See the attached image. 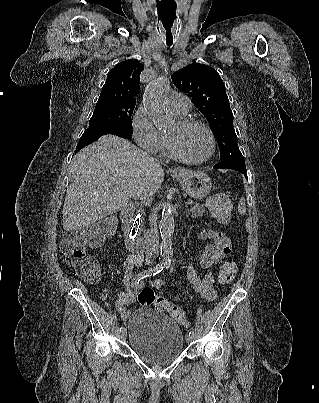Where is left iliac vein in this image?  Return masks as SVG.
I'll return each mask as SVG.
<instances>
[{"label": "left iliac vein", "instance_id": "left-iliac-vein-1", "mask_svg": "<svg viewBox=\"0 0 319 403\" xmlns=\"http://www.w3.org/2000/svg\"><path fill=\"white\" fill-rule=\"evenodd\" d=\"M193 339H194V336H193V335H187V336H186V341H187L188 343L192 342Z\"/></svg>", "mask_w": 319, "mask_h": 403}]
</instances>
